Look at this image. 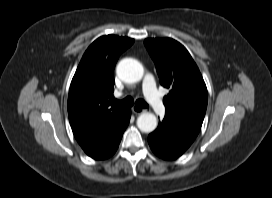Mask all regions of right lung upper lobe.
<instances>
[{
    "instance_id": "right-lung-upper-lobe-1",
    "label": "right lung upper lobe",
    "mask_w": 272,
    "mask_h": 198,
    "mask_svg": "<svg viewBox=\"0 0 272 198\" xmlns=\"http://www.w3.org/2000/svg\"><path fill=\"white\" fill-rule=\"evenodd\" d=\"M134 39L106 35L96 39L84 53L72 79L68 115L79 144L89 140L125 108L112 97L113 70L120 54Z\"/></svg>"
}]
</instances>
